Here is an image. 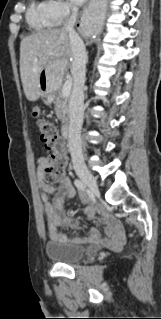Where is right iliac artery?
<instances>
[{"mask_svg":"<svg viewBox=\"0 0 161 319\" xmlns=\"http://www.w3.org/2000/svg\"><path fill=\"white\" fill-rule=\"evenodd\" d=\"M74 184H75V186L77 187V189L79 191H85L86 190V186L81 180L75 179Z\"/></svg>","mask_w":161,"mask_h":319,"instance_id":"obj_1","label":"right iliac artery"}]
</instances>
